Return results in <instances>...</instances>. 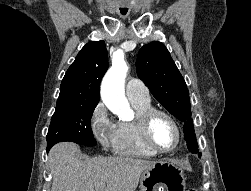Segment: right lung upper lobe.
Here are the masks:
<instances>
[{"instance_id": "cb5924a9", "label": "right lung upper lobe", "mask_w": 251, "mask_h": 191, "mask_svg": "<svg viewBox=\"0 0 251 191\" xmlns=\"http://www.w3.org/2000/svg\"><path fill=\"white\" fill-rule=\"evenodd\" d=\"M108 69L104 41H90L78 53L60 87L56 107L98 104L100 82Z\"/></svg>"}]
</instances>
